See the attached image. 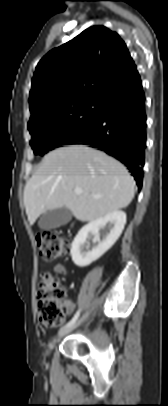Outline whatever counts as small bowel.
Segmentation results:
<instances>
[{
    "label": "small bowel",
    "mask_w": 168,
    "mask_h": 406,
    "mask_svg": "<svg viewBox=\"0 0 168 406\" xmlns=\"http://www.w3.org/2000/svg\"><path fill=\"white\" fill-rule=\"evenodd\" d=\"M55 271H56L58 274H61V275H65V273H66L65 269H64L61 265H57V266L55 267ZM74 307H75V305H74V303L72 302V300H70V299H66V300L63 302V310H64V313H65V314H70V313L73 311ZM64 320H65V317H63V319H62L61 322H63Z\"/></svg>",
    "instance_id": "obj_1"
}]
</instances>
